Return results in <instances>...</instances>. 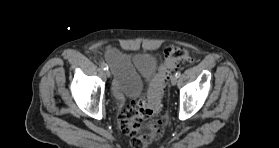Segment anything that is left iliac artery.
<instances>
[{
	"label": "left iliac artery",
	"instance_id": "obj_1",
	"mask_svg": "<svg viewBox=\"0 0 279 148\" xmlns=\"http://www.w3.org/2000/svg\"><path fill=\"white\" fill-rule=\"evenodd\" d=\"M175 76H176L177 78H179V77L181 76V72H180V71H177L176 74H175Z\"/></svg>",
	"mask_w": 279,
	"mask_h": 148
}]
</instances>
